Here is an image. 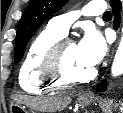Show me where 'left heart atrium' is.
I'll return each mask as SVG.
<instances>
[{
  "mask_svg": "<svg viewBox=\"0 0 123 113\" xmlns=\"http://www.w3.org/2000/svg\"><path fill=\"white\" fill-rule=\"evenodd\" d=\"M107 43L95 29H88L77 45L80 61L90 68L96 66L105 56Z\"/></svg>",
  "mask_w": 123,
  "mask_h": 113,
  "instance_id": "39dd6f15",
  "label": "left heart atrium"
}]
</instances>
